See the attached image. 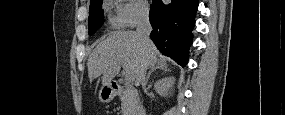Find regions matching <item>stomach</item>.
<instances>
[{"mask_svg": "<svg viewBox=\"0 0 285 115\" xmlns=\"http://www.w3.org/2000/svg\"><path fill=\"white\" fill-rule=\"evenodd\" d=\"M115 95H116V92L110 84L103 85L99 91V100L102 103H108L111 100H113Z\"/></svg>", "mask_w": 285, "mask_h": 115, "instance_id": "0dacf381", "label": "stomach"}]
</instances>
